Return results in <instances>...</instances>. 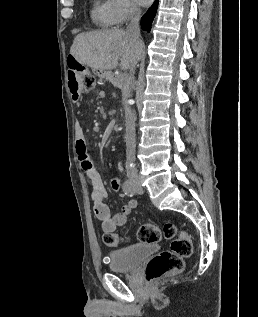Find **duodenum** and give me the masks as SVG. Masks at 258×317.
Listing matches in <instances>:
<instances>
[{
  "instance_id": "obj_1",
  "label": "duodenum",
  "mask_w": 258,
  "mask_h": 317,
  "mask_svg": "<svg viewBox=\"0 0 258 317\" xmlns=\"http://www.w3.org/2000/svg\"><path fill=\"white\" fill-rule=\"evenodd\" d=\"M66 84L74 101H78L84 92L81 74L75 68H69L66 74Z\"/></svg>"
}]
</instances>
